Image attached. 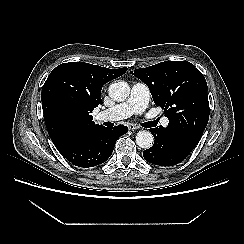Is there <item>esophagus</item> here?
<instances>
[{"instance_id":"1","label":"esophagus","mask_w":244,"mask_h":244,"mask_svg":"<svg viewBox=\"0 0 244 244\" xmlns=\"http://www.w3.org/2000/svg\"><path fill=\"white\" fill-rule=\"evenodd\" d=\"M128 128H129V130H137V129H139V126H137V125H135V124H129L128 125Z\"/></svg>"}]
</instances>
